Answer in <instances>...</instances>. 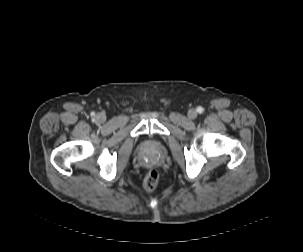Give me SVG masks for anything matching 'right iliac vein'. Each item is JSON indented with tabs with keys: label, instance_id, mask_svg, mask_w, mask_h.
Here are the masks:
<instances>
[{
	"label": "right iliac vein",
	"instance_id": "obj_1",
	"mask_svg": "<svg viewBox=\"0 0 303 252\" xmlns=\"http://www.w3.org/2000/svg\"><path fill=\"white\" fill-rule=\"evenodd\" d=\"M96 119L100 123H104L106 121V116L103 113H100L96 116Z\"/></svg>",
	"mask_w": 303,
	"mask_h": 252
}]
</instances>
